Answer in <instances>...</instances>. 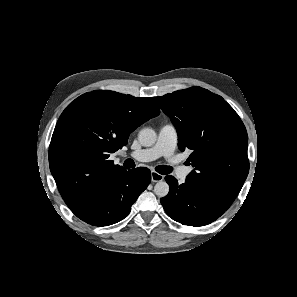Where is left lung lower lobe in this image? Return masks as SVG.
I'll return each instance as SVG.
<instances>
[{"mask_svg":"<svg viewBox=\"0 0 297 297\" xmlns=\"http://www.w3.org/2000/svg\"><path fill=\"white\" fill-rule=\"evenodd\" d=\"M165 180L170 191L161 199V204L173 220L183 225L199 227L210 224L227 210L186 182L178 184L173 176H166Z\"/></svg>","mask_w":297,"mask_h":297,"instance_id":"left-lung-lower-lobe-1","label":"left lung lower lobe"}]
</instances>
